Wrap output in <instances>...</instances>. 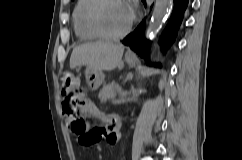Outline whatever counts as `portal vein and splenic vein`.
<instances>
[{
  "label": "portal vein and splenic vein",
  "instance_id": "obj_1",
  "mask_svg": "<svg viewBox=\"0 0 242 160\" xmlns=\"http://www.w3.org/2000/svg\"><path fill=\"white\" fill-rule=\"evenodd\" d=\"M126 95H127V92H123V93L121 94L122 98H120V99H118V100H115L113 103H121V102H123V97L126 96Z\"/></svg>",
  "mask_w": 242,
  "mask_h": 160
}]
</instances>
